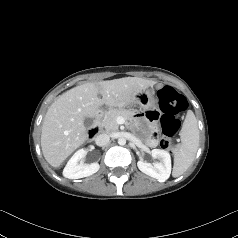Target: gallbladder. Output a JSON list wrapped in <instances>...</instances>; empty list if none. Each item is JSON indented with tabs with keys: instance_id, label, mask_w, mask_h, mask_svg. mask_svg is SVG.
Here are the masks:
<instances>
[{
	"instance_id": "1",
	"label": "gallbladder",
	"mask_w": 238,
	"mask_h": 238,
	"mask_svg": "<svg viewBox=\"0 0 238 238\" xmlns=\"http://www.w3.org/2000/svg\"><path fill=\"white\" fill-rule=\"evenodd\" d=\"M92 124H93V119H92V118L86 117V118L84 119V126H85L86 128L91 127Z\"/></svg>"
}]
</instances>
